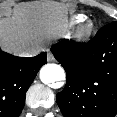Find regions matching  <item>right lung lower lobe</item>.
<instances>
[{
	"instance_id": "98d812e1",
	"label": "right lung lower lobe",
	"mask_w": 117,
	"mask_h": 117,
	"mask_svg": "<svg viewBox=\"0 0 117 117\" xmlns=\"http://www.w3.org/2000/svg\"><path fill=\"white\" fill-rule=\"evenodd\" d=\"M45 63V52L35 57L23 58L0 49V117L20 115L26 92Z\"/></svg>"
}]
</instances>
